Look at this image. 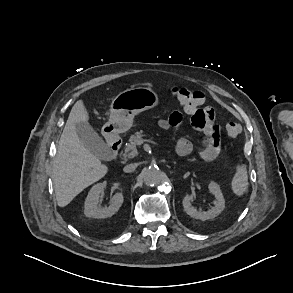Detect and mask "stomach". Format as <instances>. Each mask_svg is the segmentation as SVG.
<instances>
[{
	"mask_svg": "<svg viewBox=\"0 0 293 293\" xmlns=\"http://www.w3.org/2000/svg\"><path fill=\"white\" fill-rule=\"evenodd\" d=\"M159 103L157 94L150 88L138 87L120 92L111 103L109 121L102 131L106 136L118 135L128 131L134 116Z\"/></svg>",
	"mask_w": 293,
	"mask_h": 293,
	"instance_id": "obj_1",
	"label": "stomach"
}]
</instances>
